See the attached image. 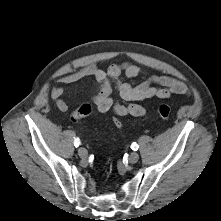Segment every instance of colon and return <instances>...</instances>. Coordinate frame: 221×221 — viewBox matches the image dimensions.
I'll list each match as a JSON object with an SVG mask.
<instances>
[{"instance_id":"5ec220e1","label":"colon","mask_w":221,"mask_h":221,"mask_svg":"<svg viewBox=\"0 0 221 221\" xmlns=\"http://www.w3.org/2000/svg\"><path fill=\"white\" fill-rule=\"evenodd\" d=\"M92 112V107L90 104H82L78 106L71 114L73 121L81 120L87 117ZM158 115L163 120H168L171 117V108L168 105L162 104L157 109ZM112 126L115 129H120L123 126V121L116 116L112 117Z\"/></svg>"}]
</instances>
